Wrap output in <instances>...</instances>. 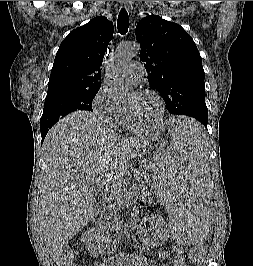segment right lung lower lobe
<instances>
[{
    "label": "right lung lower lobe",
    "instance_id": "1",
    "mask_svg": "<svg viewBox=\"0 0 253 266\" xmlns=\"http://www.w3.org/2000/svg\"><path fill=\"white\" fill-rule=\"evenodd\" d=\"M48 130H49V128L41 129L42 143H43V140H44Z\"/></svg>",
    "mask_w": 253,
    "mask_h": 266
}]
</instances>
